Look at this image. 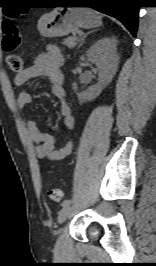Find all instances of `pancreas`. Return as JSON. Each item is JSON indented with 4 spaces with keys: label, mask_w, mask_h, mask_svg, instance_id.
Masks as SVG:
<instances>
[{
    "label": "pancreas",
    "mask_w": 156,
    "mask_h": 266,
    "mask_svg": "<svg viewBox=\"0 0 156 266\" xmlns=\"http://www.w3.org/2000/svg\"><path fill=\"white\" fill-rule=\"evenodd\" d=\"M63 44L66 45L69 48H73L77 44V37L70 36V37L64 39Z\"/></svg>",
    "instance_id": "pancreas-1"
}]
</instances>
